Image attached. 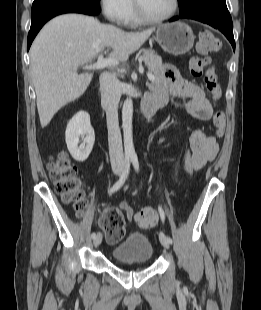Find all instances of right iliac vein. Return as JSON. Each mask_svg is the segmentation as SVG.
I'll list each match as a JSON object with an SVG mask.
<instances>
[{"mask_svg": "<svg viewBox=\"0 0 261 310\" xmlns=\"http://www.w3.org/2000/svg\"><path fill=\"white\" fill-rule=\"evenodd\" d=\"M120 173H121V169H119V168L114 169V174H115V175H120ZM101 241H102V234H101V233H98V234L95 236V238L93 239V245H94L95 247H97V246L100 245Z\"/></svg>", "mask_w": 261, "mask_h": 310, "instance_id": "63e3f726", "label": "right iliac vein"}]
</instances>
